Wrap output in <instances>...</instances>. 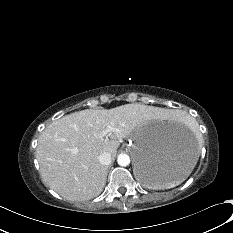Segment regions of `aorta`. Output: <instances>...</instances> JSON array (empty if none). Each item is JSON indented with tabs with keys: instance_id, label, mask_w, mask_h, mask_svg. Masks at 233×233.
<instances>
[{
	"instance_id": "762f6f07",
	"label": "aorta",
	"mask_w": 233,
	"mask_h": 233,
	"mask_svg": "<svg viewBox=\"0 0 233 233\" xmlns=\"http://www.w3.org/2000/svg\"><path fill=\"white\" fill-rule=\"evenodd\" d=\"M117 162L120 166H128L130 164V157L125 153L119 154Z\"/></svg>"
}]
</instances>
